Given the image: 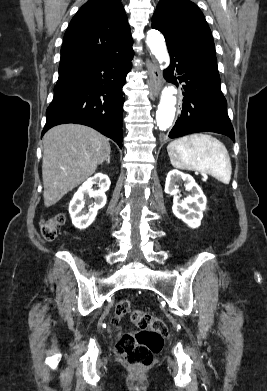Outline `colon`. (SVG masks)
Returning <instances> with one entry per match:
<instances>
[{"instance_id": "obj_1", "label": "colon", "mask_w": 267, "mask_h": 391, "mask_svg": "<svg viewBox=\"0 0 267 391\" xmlns=\"http://www.w3.org/2000/svg\"><path fill=\"white\" fill-rule=\"evenodd\" d=\"M64 223L62 215H56L40 224L42 237L47 241L56 239ZM129 316L138 328L137 332L125 333L116 344V353L123 358L126 365L133 368L148 367L159 353L168 334V327L161 317L153 316L139 309H131L127 300L120 301L115 308V321Z\"/></svg>"}]
</instances>
